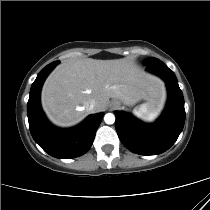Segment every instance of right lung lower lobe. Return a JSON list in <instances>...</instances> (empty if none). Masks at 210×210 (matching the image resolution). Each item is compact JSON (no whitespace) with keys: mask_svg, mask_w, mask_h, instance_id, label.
I'll return each instance as SVG.
<instances>
[{"mask_svg":"<svg viewBox=\"0 0 210 210\" xmlns=\"http://www.w3.org/2000/svg\"><path fill=\"white\" fill-rule=\"evenodd\" d=\"M58 63L59 61H54L44 67L33 82L27 115L35 142L53 157L70 159L79 157L90 149L104 114L90 115L80 125L71 129H59L48 122L40 106V91L45 78Z\"/></svg>","mask_w":210,"mask_h":210,"instance_id":"1","label":"right lung lower lobe"}]
</instances>
